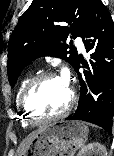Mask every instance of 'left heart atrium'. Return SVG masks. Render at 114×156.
<instances>
[{
	"instance_id": "obj_1",
	"label": "left heart atrium",
	"mask_w": 114,
	"mask_h": 156,
	"mask_svg": "<svg viewBox=\"0 0 114 156\" xmlns=\"http://www.w3.org/2000/svg\"><path fill=\"white\" fill-rule=\"evenodd\" d=\"M60 78L65 83V85L68 86V84H69V74H68V71L66 69L63 70L62 75H61Z\"/></svg>"
}]
</instances>
